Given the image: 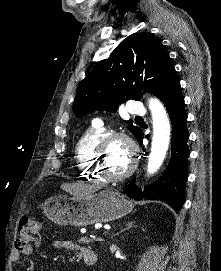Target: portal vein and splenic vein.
Segmentation results:
<instances>
[{"instance_id": "portal-vein-and-splenic-vein-1", "label": "portal vein and splenic vein", "mask_w": 221, "mask_h": 271, "mask_svg": "<svg viewBox=\"0 0 221 271\" xmlns=\"http://www.w3.org/2000/svg\"><path fill=\"white\" fill-rule=\"evenodd\" d=\"M94 242H102L103 238L102 237H94Z\"/></svg>"}]
</instances>
